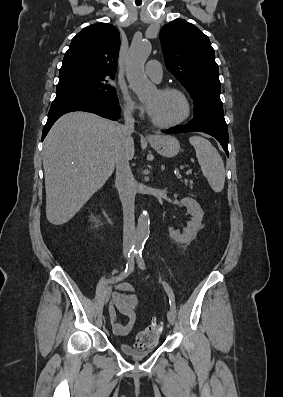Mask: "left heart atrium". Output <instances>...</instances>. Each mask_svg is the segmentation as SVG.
Returning a JSON list of instances; mask_svg holds the SVG:
<instances>
[{"label":"left heart atrium","mask_w":283,"mask_h":397,"mask_svg":"<svg viewBox=\"0 0 283 397\" xmlns=\"http://www.w3.org/2000/svg\"><path fill=\"white\" fill-rule=\"evenodd\" d=\"M145 109L147 110V112H148L149 114H151V112H152V105L147 103V104L145 105Z\"/></svg>","instance_id":"1"}]
</instances>
